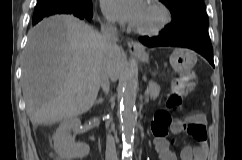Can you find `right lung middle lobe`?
<instances>
[{
  "label": "right lung middle lobe",
  "mask_w": 242,
  "mask_h": 160,
  "mask_svg": "<svg viewBox=\"0 0 242 160\" xmlns=\"http://www.w3.org/2000/svg\"><path fill=\"white\" fill-rule=\"evenodd\" d=\"M91 0H38L33 18L52 12H91Z\"/></svg>",
  "instance_id": "1"
}]
</instances>
